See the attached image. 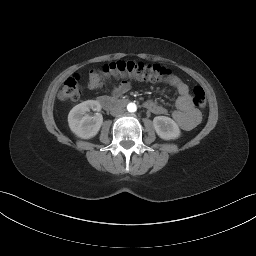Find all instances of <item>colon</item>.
Returning <instances> with one entry per match:
<instances>
[{
	"label": "colon",
	"instance_id": "obj_1",
	"mask_svg": "<svg viewBox=\"0 0 256 256\" xmlns=\"http://www.w3.org/2000/svg\"><path fill=\"white\" fill-rule=\"evenodd\" d=\"M170 71L159 64L143 61L119 60L105 64L100 70L89 72V85L98 88L103 81L111 77H130L140 80L160 81L167 79ZM81 77L74 74L67 78L60 91V98L64 101H77L81 96ZM193 104L199 109L207 105V99L202 87L196 86L193 89Z\"/></svg>",
	"mask_w": 256,
	"mask_h": 256
}]
</instances>
